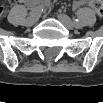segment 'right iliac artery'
Segmentation results:
<instances>
[{
  "mask_svg": "<svg viewBox=\"0 0 103 103\" xmlns=\"http://www.w3.org/2000/svg\"><path fill=\"white\" fill-rule=\"evenodd\" d=\"M43 12V6H37L30 11V16L38 17Z\"/></svg>",
  "mask_w": 103,
  "mask_h": 103,
  "instance_id": "right-iliac-artery-1",
  "label": "right iliac artery"
}]
</instances>
